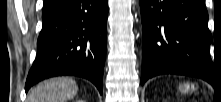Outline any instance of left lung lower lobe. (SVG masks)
<instances>
[{
	"instance_id": "1",
	"label": "left lung lower lobe",
	"mask_w": 221,
	"mask_h": 102,
	"mask_svg": "<svg viewBox=\"0 0 221 102\" xmlns=\"http://www.w3.org/2000/svg\"><path fill=\"white\" fill-rule=\"evenodd\" d=\"M143 51L141 84L160 74L214 81L212 36L204 0H140Z\"/></svg>"
}]
</instances>
